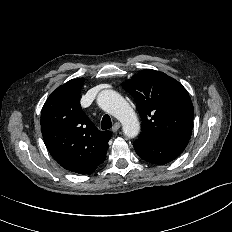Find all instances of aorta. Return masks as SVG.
I'll use <instances>...</instances> for the list:
<instances>
[{"mask_svg": "<svg viewBox=\"0 0 232 232\" xmlns=\"http://www.w3.org/2000/svg\"><path fill=\"white\" fill-rule=\"evenodd\" d=\"M97 103L102 110L121 122L126 137L134 138L139 134L140 125L136 113L119 93L110 89L103 90L97 97Z\"/></svg>", "mask_w": 232, "mask_h": 232, "instance_id": "1", "label": "aorta"}]
</instances>
